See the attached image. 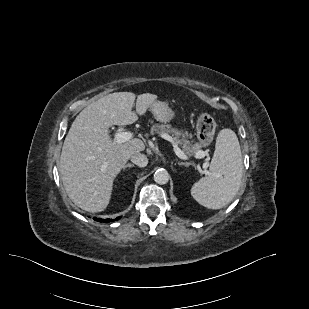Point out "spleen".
I'll list each match as a JSON object with an SVG mask.
<instances>
[{
	"instance_id": "spleen-1",
	"label": "spleen",
	"mask_w": 309,
	"mask_h": 309,
	"mask_svg": "<svg viewBox=\"0 0 309 309\" xmlns=\"http://www.w3.org/2000/svg\"><path fill=\"white\" fill-rule=\"evenodd\" d=\"M210 172L191 188L192 197L208 209H220L237 194L242 180L243 160L238 138L222 129L216 139Z\"/></svg>"
}]
</instances>
